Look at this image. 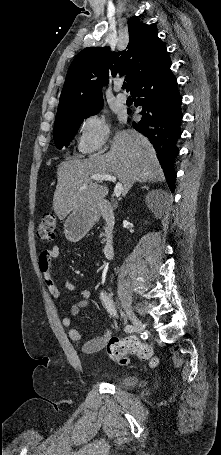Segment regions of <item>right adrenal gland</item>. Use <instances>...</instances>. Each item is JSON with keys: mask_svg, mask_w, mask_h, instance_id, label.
I'll use <instances>...</instances> for the list:
<instances>
[{"mask_svg": "<svg viewBox=\"0 0 221 455\" xmlns=\"http://www.w3.org/2000/svg\"><path fill=\"white\" fill-rule=\"evenodd\" d=\"M143 188H144V189H148V187H146V186H144Z\"/></svg>", "mask_w": 221, "mask_h": 455, "instance_id": "obj_1", "label": "right adrenal gland"}]
</instances>
